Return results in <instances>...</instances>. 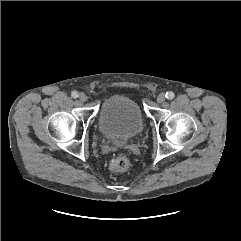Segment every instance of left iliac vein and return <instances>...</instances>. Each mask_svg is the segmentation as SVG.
I'll return each mask as SVG.
<instances>
[{"label":"left iliac vein","instance_id":"4c4485c4","mask_svg":"<svg viewBox=\"0 0 241 241\" xmlns=\"http://www.w3.org/2000/svg\"><path fill=\"white\" fill-rule=\"evenodd\" d=\"M165 94L164 93H160L158 96H157V102L158 103H163L165 101Z\"/></svg>","mask_w":241,"mask_h":241}]
</instances>
